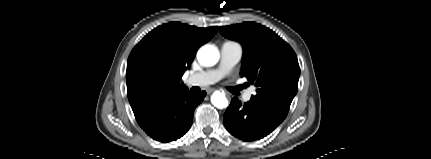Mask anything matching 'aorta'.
Segmentation results:
<instances>
[{
  "label": "aorta",
  "instance_id": "762f6f07",
  "mask_svg": "<svg viewBox=\"0 0 431 159\" xmlns=\"http://www.w3.org/2000/svg\"><path fill=\"white\" fill-rule=\"evenodd\" d=\"M219 51L211 45H205L198 50L197 59L203 66H213L219 60ZM211 103L218 109L228 106V100L225 95L219 91L211 96Z\"/></svg>",
  "mask_w": 431,
  "mask_h": 159
}]
</instances>
